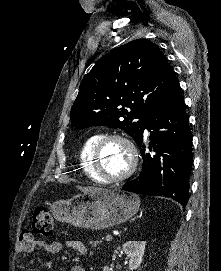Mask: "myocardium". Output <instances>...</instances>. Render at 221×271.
<instances>
[{
    "instance_id": "myocardium-1",
    "label": "myocardium",
    "mask_w": 221,
    "mask_h": 271,
    "mask_svg": "<svg viewBox=\"0 0 221 271\" xmlns=\"http://www.w3.org/2000/svg\"><path fill=\"white\" fill-rule=\"evenodd\" d=\"M107 134V137L97 138L96 144H94L91 156V161L95 167V172H98V175H101L104 183L101 184H113V183H123V178H128L133 170H136L139 167L138 162V145H132L130 140H132L126 133L122 131H108L104 132ZM108 142H119L120 150H127L126 153H123V159L126 164H129L128 170L120 175H114L106 177V172H103L102 166L100 165V157L102 155V150H105V145H108ZM83 171V170H82Z\"/></svg>"
}]
</instances>
